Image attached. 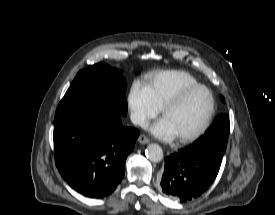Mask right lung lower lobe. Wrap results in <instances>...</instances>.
<instances>
[{"instance_id": "obj_1", "label": "right lung lower lobe", "mask_w": 275, "mask_h": 215, "mask_svg": "<svg viewBox=\"0 0 275 215\" xmlns=\"http://www.w3.org/2000/svg\"><path fill=\"white\" fill-rule=\"evenodd\" d=\"M122 114L102 105L55 118L54 155L62 177L91 198L111 194L124 177L139 131L124 127Z\"/></svg>"}]
</instances>
